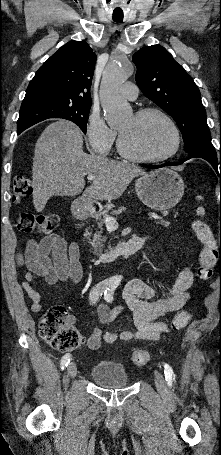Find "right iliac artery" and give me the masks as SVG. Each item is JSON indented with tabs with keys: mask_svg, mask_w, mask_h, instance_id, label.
I'll use <instances>...</instances> for the list:
<instances>
[{
	"mask_svg": "<svg viewBox=\"0 0 221 455\" xmlns=\"http://www.w3.org/2000/svg\"><path fill=\"white\" fill-rule=\"evenodd\" d=\"M109 286L110 285L107 282H100L97 285H95L89 294L90 303L92 305L95 304L99 300V298L102 296L103 292H105ZM69 362H70V354L67 353L63 356V358L61 360V364H60L61 369L64 370L68 366Z\"/></svg>",
	"mask_w": 221,
	"mask_h": 455,
	"instance_id": "82829eb1",
	"label": "right iliac artery"
}]
</instances>
